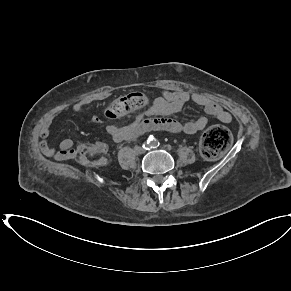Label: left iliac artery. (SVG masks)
I'll use <instances>...</instances> for the list:
<instances>
[{
  "instance_id": "left-iliac-artery-1",
  "label": "left iliac artery",
  "mask_w": 291,
  "mask_h": 291,
  "mask_svg": "<svg viewBox=\"0 0 291 291\" xmlns=\"http://www.w3.org/2000/svg\"><path fill=\"white\" fill-rule=\"evenodd\" d=\"M159 141L155 138H151V145H152V148H156L159 146Z\"/></svg>"
}]
</instances>
